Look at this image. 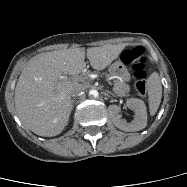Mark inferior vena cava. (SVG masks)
<instances>
[{
  "instance_id": "obj_1",
  "label": "inferior vena cava",
  "mask_w": 187,
  "mask_h": 187,
  "mask_svg": "<svg viewBox=\"0 0 187 187\" xmlns=\"http://www.w3.org/2000/svg\"><path fill=\"white\" fill-rule=\"evenodd\" d=\"M84 90V86L82 84H75L71 90V96L75 97L77 96L80 92Z\"/></svg>"
}]
</instances>
